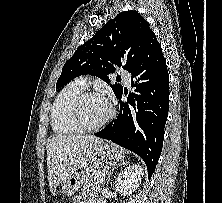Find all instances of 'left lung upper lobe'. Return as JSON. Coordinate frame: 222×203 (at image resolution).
Segmentation results:
<instances>
[{"label":"left lung upper lobe","instance_id":"1","mask_svg":"<svg viewBox=\"0 0 222 203\" xmlns=\"http://www.w3.org/2000/svg\"><path fill=\"white\" fill-rule=\"evenodd\" d=\"M151 32L147 21L138 12L119 13L66 61L56 88L85 74L96 75L109 83L107 74L114 72V65L123 66L130 72L141 58ZM111 88L116 97L123 90L117 83Z\"/></svg>","mask_w":222,"mask_h":203}]
</instances>
